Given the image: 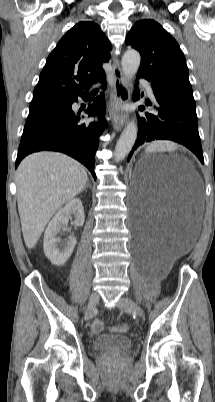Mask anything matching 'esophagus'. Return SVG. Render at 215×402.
Segmentation results:
<instances>
[{"label":"esophagus","instance_id":"esophagus-1","mask_svg":"<svg viewBox=\"0 0 215 402\" xmlns=\"http://www.w3.org/2000/svg\"><path fill=\"white\" fill-rule=\"evenodd\" d=\"M112 98L114 106L111 110V117L113 120V127L119 131L127 121V113L120 111L118 106L126 104L130 99V92L126 81V76L122 72L120 64L117 59L113 63V93Z\"/></svg>","mask_w":215,"mask_h":402}]
</instances>
